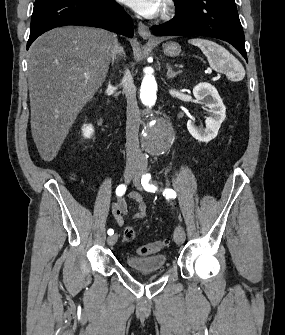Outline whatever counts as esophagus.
<instances>
[{
	"label": "esophagus",
	"instance_id": "34e87169",
	"mask_svg": "<svg viewBox=\"0 0 285 335\" xmlns=\"http://www.w3.org/2000/svg\"><path fill=\"white\" fill-rule=\"evenodd\" d=\"M138 33L143 38L150 39V40L155 39V37H153V35H151L149 27H147L146 25H144L141 22L138 24Z\"/></svg>",
	"mask_w": 285,
	"mask_h": 335
}]
</instances>
